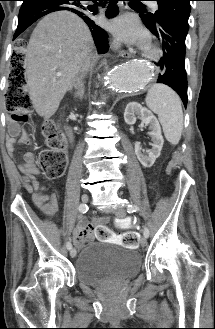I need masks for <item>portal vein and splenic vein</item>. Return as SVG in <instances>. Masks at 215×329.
I'll return each mask as SVG.
<instances>
[{
    "mask_svg": "<svg viewBox=\"0 0 215 329\" xmlns=\"http://www.w3.org/2000/svg\"><path fill=\"white\" fill-rule=\"evenodd\" d=\"M62 75V73H57V76H61Z\"/></svg>",
    "mask_w": 215,
    "mask_h": 329,
    "instance_id": "obj_1",
    "label": "portal vein and splenic vein"
}]
</instances>
